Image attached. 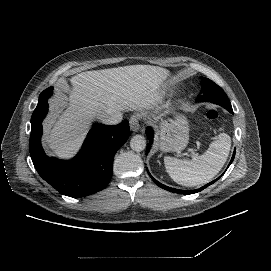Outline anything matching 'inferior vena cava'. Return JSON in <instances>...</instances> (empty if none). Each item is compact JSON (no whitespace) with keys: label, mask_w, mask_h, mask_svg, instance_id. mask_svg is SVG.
<instances>
[{"label":"inferior vena cava","mask_w":271,"mask_h":271,"mask_svg":"<svg viewBox=\"0 0 271 271\" xmlns=\"http://www.w3.org/2000/svg\"><path fill=\"white\" fill-rule=\"evenodd\" d=\"M99 120L108 125H116L121 123L123 116L119 110H108L98 115Z\"/></svg>","instance_id":"obj_1"}]
</instances>
